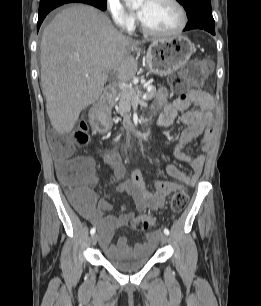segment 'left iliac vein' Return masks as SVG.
Returning a JSON list of instances; mask_svg holds the SVG:
<instances>
[{
	"instance_id": "obj_1",
	"label": "left iliac vein",
	"mask_w": 261,
	"mask_h": 306,
	"mask_svg": "<svg viewBox=\"0 0 261 306\" xmlns=\"http://www.w3.org/2000/svg\"><path fill=\"white\" fill-rule=\"evenodd\" d=\"M160 241L164 244L167 243L168 242V236L166 234H161L160 235Z\"/></svg>"
}]
</instances>
